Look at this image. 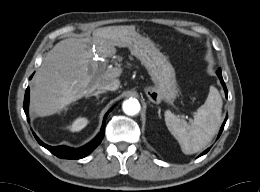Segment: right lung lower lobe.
Returning a JSON list of instances; mask_svg holds the SVG:
<instances>
[{
	"label": "right lung lower lobe",
	"mask_w": 260,
	"mask_h": 192,
	"mask_svg": "<svg viewBox=\"0 0 260 192\" xmlns=\"http://www.w3.org/2000/svg\"><path fill=\"white\" fill-rule=\"evenodd\" d=\"M28 104H29V87L26 89L24 105H23V108H24V111H25V114L27 117H28ZM113 108L114 107H112L104 116L103 125H102L100 133L91 142H89L88 144H86L85 146L80 147V148H70L67 146H56V147L48 146V145L44 144L34 133L33 134L40 145H42L43 147L48 149L51 153H53L57 157L63 158V159H81V158H84L85 156H87L88 154H90L102 141V139L104 137L106 117Z\"/></svg>",
	"instance_id": "obj_1"
}]
</instances>
